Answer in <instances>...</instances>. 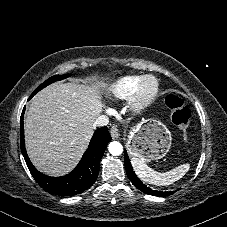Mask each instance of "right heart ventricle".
<instances>
[{"label": "right heart ventricle", "mask_w": 227, "mask_h": 227, "mask_svg": "<svg viewBox=\"0 0 227 227\" xmlns=\"http://www.w3.org/2000/svg\"><path fill=\"white\" fill-rule=\"evenodd\" d=\"M142 76H125L117 80L108 89V96L115 99H126L134 92Z\"/></svg>", "instance_id": "e07e8e85"}]
</instances>
